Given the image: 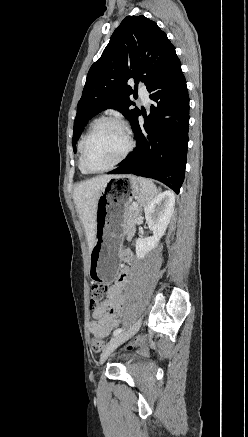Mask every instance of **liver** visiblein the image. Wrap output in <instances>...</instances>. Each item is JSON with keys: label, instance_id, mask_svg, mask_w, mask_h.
I'll list each match as a JSON object with an SVG mask.
<instances>
[{"label": "liver", "instance_id": "1", "mask_svg": "<svg viewBox=\"0 0 248 437\" xmlns=\"http://www.w3.org/2000/svg\"><path fill=\"white\" fill-rule=\"evenodd\" d=\"M112 177L111 175H103L86 180L78 184L73 191V200L85 228L89 253L95 244V215L98 197L105 184Z\"/></svg>", "mask_w": 248, "mask_h": 437}]
</instances>
